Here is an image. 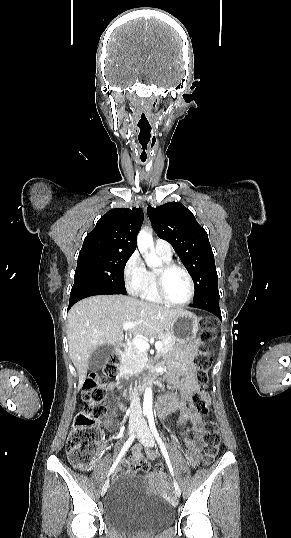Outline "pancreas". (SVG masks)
I'll list each match as a JSON object with an SVG mask.
<instances>
[{
  "label": "pancreas",
  "instance_id": "obj_1",
  "mask_svg": "<svg viewBox=\"0 0 291 538\" xmlns=\"http://www.w3.org/2000/svg\"><path fill=\"white\" fill-rule=\"evenodd\" d=\"M158 338L160 340H168V344L163 343L162 347L158 349L159 354H165L169 352L175 345V338L169 332L159 333ZM146 358H147V353L145 351L139 350L133 344L130 347V349L125 351L122 355V360L126 362H130L131 369L135 374L140 373L142 369L145 367L147 363Z\"/></svg>",
  "mask_w": 291,
  "mask_h": 538
}]
</instances>
